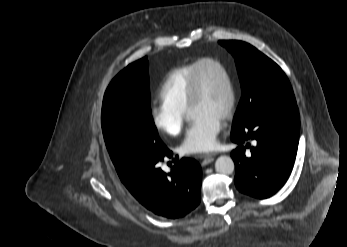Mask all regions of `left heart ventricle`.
I'll return each mask as SVG.
<instances>
[{"mask_svg": "<svg viewBox=\"0 0 347 247\" xmlns=\"http://www.w3.org/2000/svg\"><path fill=\"white\" fill-rule=\"evenodd\" d=\"M200 99L189 109L190 117L201 115L222 118L228 104V87L225 76L216 66L203 65L199 70Z\"/></svg>", "mask_w": 347, "mask_h": 247, "instance_id": "left-heart-ventricle-1", "label": "left heart ventricle"}]
</instances>
